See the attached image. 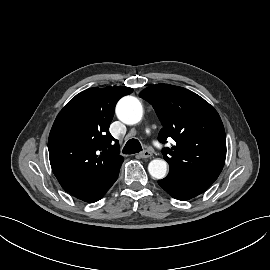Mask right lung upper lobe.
I'll list each match as a JSON object with an SVG mask.
<instances>
[{
    "mask_svg": "<svg viewBox=\"0 0 270 270\" xmlns=\"http://www.w3.org/2000/svg\"><path fill=\"white\" fill-rule=\"evenodd\" d=\"M132 88H90L59 112L48 139L50 164L66 192L109 178L124 158L108 132L117 101ZM115 141V142H113Z\"/></svg>",
    "mask_w": 270,
    "mask_h": 270,
    "instance_id": "1",
    "label": "right lung upper lobe"
}]
</instances>
